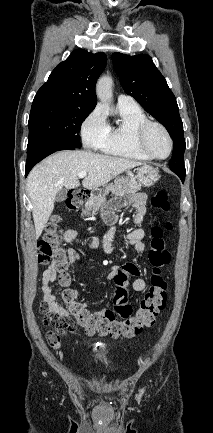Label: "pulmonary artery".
I'll return each instance as SVG.
<instances>
[{
  "label": "pulmonary artery",
  "mask_w": 213,
  "mask_h": 433,
  "mask_svg": "<svg viewBox=\"0 0 213 433\" xmlns=\"http://www.w3.org/2000/svg\"><path fill=\"white\" fill-rule=\"evenodd\" d=\"M118 104L134 105V104H136V102H135V100L131 96L125 95V94H121L118 97Z\"/></svg>",
  "instance_id": "obj_1"
}]
</instances>
